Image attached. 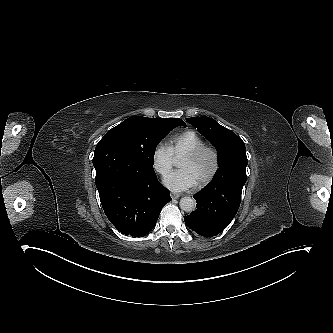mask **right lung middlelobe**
I'll list each match as a JSON object with an SVG mask.
<instances>
[{
  "instance_id": "right-lung-middle-lobe-1",
  "label": "right lung middle lobe",
  "mask_w": 333,
  "mask_h": 333,
  "mask_svg": "<svg viewBox=\"0 0 333 333\" xmlns=\"http://www.w3.org/2000/svg\"><path fill=\"white\" fill-rule=\"evenodd\" d=\"M184 121L178 118H147L133 116L110 129L100 140H113L127 149L146 168L153 169L158 143Z\"/></svg>"
}]
</instances>
